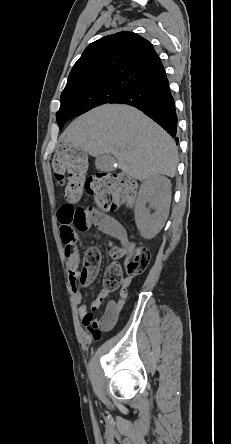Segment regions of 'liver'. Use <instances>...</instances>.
Segmentation results:
<instances>
[{
    "instance_id": "1",
    "label": "liver",
    "mask_w": 231,
    "mask_h": 444,
    "mask_svg": "<svg viewBox=\"0 0 231 444\" xmlns=\"http://www.w3.org/2000/svg\"><path fill=\"white\" fill-rule=\"evenodd\" d=\"M60 140L93 157L114 155L122 172L140 181L176 174L178 151L174 140L144 113L128 105L105 104L90 110L76 118Z\"/></svg>"
}]
</instances>
